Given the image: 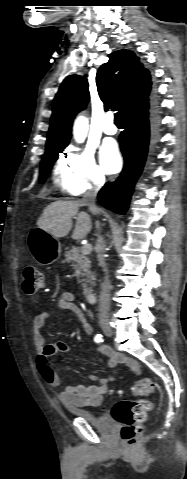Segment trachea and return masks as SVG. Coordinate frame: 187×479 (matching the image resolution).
<instances>
[{
	"label": "trachea",
	"mask_w": 187,
	"mask_h": 479,
	"mask_svg": "<svg viewBox=\"0 0 187 479\" xmlns=\"http://www.w3.org/2000/svg\"><path fill=\"white\" fill-rule=\"evenodd\" d=\"M114 122H115L116 125H124V118H123V112L122 111H118L115 114Z\"/></svg>",
	"instance_id": "trachea-1"
}]
</instances>
